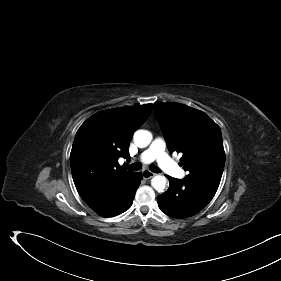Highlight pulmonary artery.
Returning <instances> with one entry per match:
<instances>
[{
    "label": "pulmonary artery",
    "mask_w": 281,
    "mask_h": 281,
    "mask_svg": "<svg viewBox=\"0 0 281 281\" xmlns=\"http://www.w3.org/2000/svg\"><path fill=\"white\" fill-rule=\"evenodd\" d=\"M166 143L163 138L157 137L151 143L149 148L140 155V161L143 163H150L154 160L158 165L169 175L182 178L185 173L165 152Z\"/></svg>",
    "instance_id": "1"
}]
</instances>
